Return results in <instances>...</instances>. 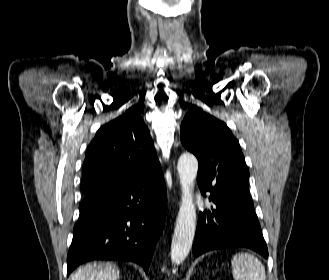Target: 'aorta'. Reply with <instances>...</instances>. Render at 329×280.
Segmentation results:
<instances>
[{
	"mask_svg": "<svg viewBox=\"0 0 329 280\" xmlns=\"http://www.w3.org/2000/svg\"><path fill=\"white\" fill-rule=\"evenodd\" d=\"M182 189V200L176 219L171 244V261L180 265L188 256L196 229V208L193 201L194 182L198 171V161L192 154H183L177 163Z\"/></svg>",
	"mask_w": 329,
	"mask_h": 280,
	"instance_id": "762f6f07",
	"label": "aorta"
}]
</instances>
